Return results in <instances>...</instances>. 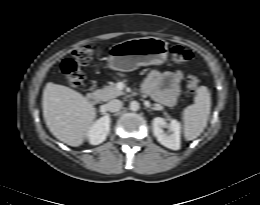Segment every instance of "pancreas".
<instances>
[{"label": "pancreas", "mask_w": 260, "mask_h": 205, "mask_svg": "<svg viewBox=\"0 0 260 205\" xmlns=\"http://www.w3.org/2000/svg\"><path fill=\"white\" fill-rule=\"evenodd\" d=\"M96 93L102 101H108L124 94L123 91L113 85L105 86L104 88L97 90Z\"/></svg>", "instance_id": "cf45deb5"}]
</instances>
